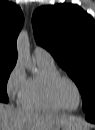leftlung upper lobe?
<instances>
[{
	"label": "left lung upper lobe",
	"instance_id": "1",
	"mask_svg": "<svg viewBox=\"0 0 95 130\" xmlns=\"http://www.w3.org/2000/svg\"><path fill=\"white\" fill-rule=\"evenodd\" d=\"M36 42L74 80L83 110L95 113V22L78 5L42 6L32 16Z\"/></svg>",
	"mask_w": 95,
	"mask_h": 130
}]
</instances>
